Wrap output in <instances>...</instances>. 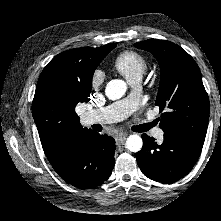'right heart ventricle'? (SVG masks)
Instances as JSON below:
<instances>
[{
  "label": "right heart ventricle",
  "mask_w": 221,
  "mask_h": 221,
  "mask_svg": "<svg viewBox=\"0 0 221 221\" xmlns=\"http://www.w3.org/2000/svg\"><path fill=\"white\" fill-rule=\"evenodd\" d=\"M114 68L131 84L140 80L148 67V61L141 53L125 50L117 54L113 60Z\"/></svg>",
  "instance_id": "obj_1"
}]
</instances>
